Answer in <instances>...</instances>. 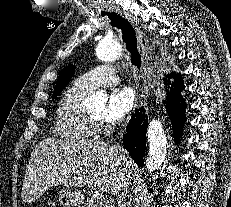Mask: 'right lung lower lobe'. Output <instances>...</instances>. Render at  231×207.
I'll list each match as a JSON object with an SVG mask.
<instances>
[{
    "mask_svg": "<svg viewBox=\"0 0 231 207\" xmlns=\"http://www.w3.org/2000/svg\"><path fill=\"white\" fill-rule=\"evenodd\" d=\"M170 79H175L170 91L166 93V110L172 124L173 137L175 144H178L184 123L186 122L185 116V103L181 96V90L185 88L182 84L180 75L175 72L167 75ZM164 84L167 85V79H163ZM169 84V83H168ZM148 124V118L145 116V110L141 107L131 118L126 133L123 136V144L131 157L134 159L138 166H143V156L146 148V129Z\"/></svg>",
    "mask_w": 231,
    "mask_h": 207,
    "instance_id": "right-lung-lower-lobe-1",
    "label": "right lung lower lobe"
}]
</instances>
